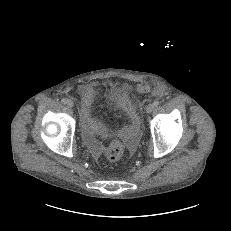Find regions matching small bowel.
<instances>
[{
    "label": "small bowel",
    "instance_id": "c3829d8e",
    "mask_svg": "<svg viewBox=\"0 0 231 231\" xmlns=\"http://www.w3.org/2000/svg\"><path fill=\"white\" fill-rule=\"evenodd\" d=\"M96 89L92 84L79 87L77 93L81 96L84 102V109L82 113V125L84 138L94 153H98L100 145L96 140V136L106 137L109 131L97 123L91 116V101L95 95ZM123 136L129 139L131 145H135L138 133L134 132H122Z\"/></svg>",
    "mask_w": 231,
    "mask_h": 231
}]
</instances>
